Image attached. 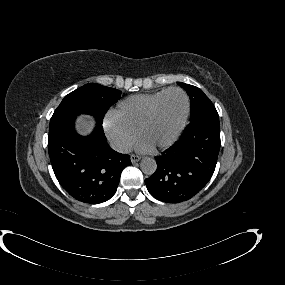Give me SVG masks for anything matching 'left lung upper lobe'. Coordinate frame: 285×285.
I'll return each instance as SVG.
<instances>
[{"mask_svg":"<svg viewBox=\"0 0 285 285\" xmlns=\"http://www.w3.org/2000/svg\"><path fill=\"white\" fill-rule=\"evenodd\" d=\"M177 84L184 88L190 97V120L204 111L215 109V106L210 99L199 88L181 82H178Z\"/></svg>","mask_w":285,"mask_h":285,"instance_id":"left-lung-upper-lobe-1","label":"left lung upper lobe"}]
</instances>
